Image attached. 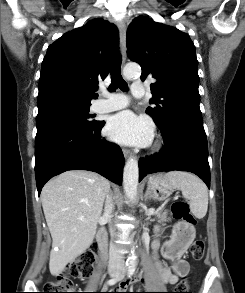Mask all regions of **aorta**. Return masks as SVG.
I'll return each instance as SVG.
<instances>
[{
  "mask_svg": "<svg viewBox=\"0 0 245 293\" xmlns=\"http://www.w3.org/2000/svg\"><path fill=\"white\" fill-rule=\"evenodd\" d=\"M141 68L138 64H128L123 69V75L126 79H132L139 75ZM139 180V167L138 161L130 157L124 167L123 172V187L126 196L130 200H134L137 193V186ZM137 257L132 254L131 257L127 260V266L130 268H134L136 266Z\"/></svg>",
  "mask_w": 245,
  "mask_h": 293,
  "instance_id": "1",
  "label": "aorta"
}]
</instances>
